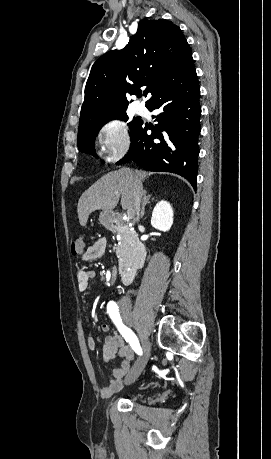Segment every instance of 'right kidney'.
<instances>
[{"mask_svg":"<svg viewBox=\"0 0 271 459\" xmlns=\"http://www.w3.org/2000/svg\"><path fill=\"white\" fill-rule=\"evenodd\" d=\"M173 224V210L169 202H158L156 204L151 218V226L161 231H168Z\"/></svg>","mask_w":271,"mask_h":459,"instance_id":"right-kidney-1","label":"right kidney"}]
</instances>
